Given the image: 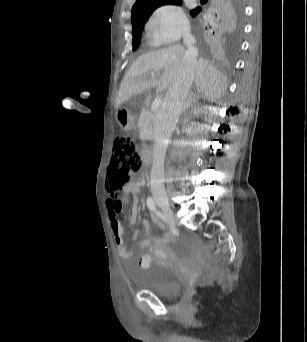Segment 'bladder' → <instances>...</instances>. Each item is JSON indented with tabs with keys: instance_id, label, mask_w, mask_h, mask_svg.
Instances as JSON below:
<instances>
[{
	"instance_id": "bladder-1",
	"label": "bladder",
	"mask_w": 307,
	"mask_h": 342,
	"mask_svg": "<svg viewBox=\"0 0 307 342\" xmlns=\"http://www.w3.org/2000/svg\"><path fill=\"white\" fill-rule=\"evenodd\" d=\"M180 282V275L173 266L153 261L146 267L142 286L155 294L168 295L180 288Z\"/></svg>"
}]
</instances>
